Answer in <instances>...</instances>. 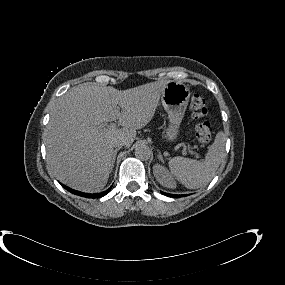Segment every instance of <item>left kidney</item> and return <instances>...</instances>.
Listing matches in <instances>:
<instances>
[{
	"mask_svg": "<svg viewBox=\"0 0 285 285\" xmlns=\"http://www.w3.org/2000/svg\"><path fill=\"white\" fill-rule=\"evenodd\" d=\"M153 174L156 180L164 187L175 188L176 182L169 171L162 165L156 164L153 166Z\"/></svg>",
	"mask_w": 285,
	"mask_h": 285,
	"instance_id": "5707ae66",
	"label": "left kidney"
}]
</instances>
